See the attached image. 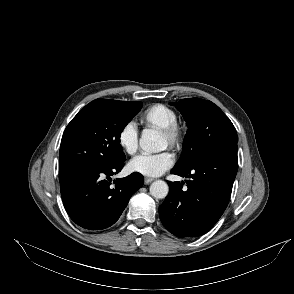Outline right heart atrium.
<instances>
[{
    "instance_id": "right-heart-atrium-1",
    "label": "right heart atrium",
    "mask_w": 294,
    "mask_h": 294,
    "mask_svg": "<svg viewBox=\"0 0 294 294\" xmlns=\"http://www.w3.org/2000/svg\"><path fill=\"white\" fill-rule=\"evenodd\" d=\"M117 142L121 150L133 155L138 149V129L133 121L125 123L118 132Z\"/></svg>"
}]
</instances>
